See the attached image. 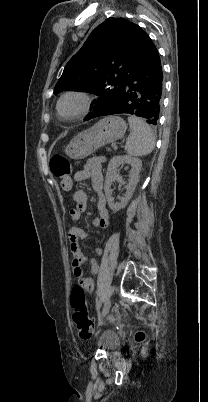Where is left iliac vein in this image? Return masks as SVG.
Here are the masks:
<instances>
[{
  "label": "left iliac vein",
  "instance_id": "4c4485c4",
  "mask_svg": "<svg viewBox=\"0 0 208 402\" xmlns=\"http://www.w3.org/2000/svg\"><path fill=\"white\" fill-rule=\"evenodd\" d=\"M111 303H112L111 299L106 300L104 307H103V311H102V317H105L108 314V312L111 308Z\"/></svg>",
  "mask_w": 208,
  "mask_h": 402
}]
</instances>
